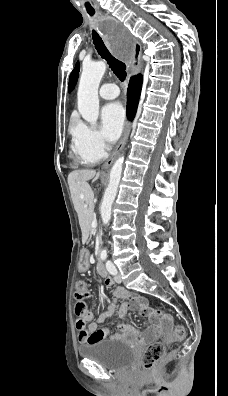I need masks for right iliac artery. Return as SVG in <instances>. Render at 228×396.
<instances>
[{"instance_id": "obj_1", "label": "right iliac artery", "mask_w": 228, "mask_h": 396, "mask_svg": "<svg viewBox=\"0 0 228 396\" xmlns=\"http://www.w3.org/2000/svg\"><path fill=\"white\" fill-rule=\"evenodd\" d=\"M106 258H107V253H106V251H102V253H101V259H102V260H106Z\"/></svg>"}]
</instances>
